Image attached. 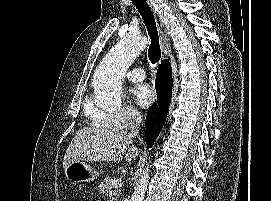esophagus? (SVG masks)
Wrapping results in <instances>:
<instances>
[{
	"label": "esophagus",
	"mask_w": 271,
	"mask_h": 201,
	"mask_svg": "<svg viewBox=\"0 0 271 201\" xmlns=\"http://www.w3.org/2000/svg\"><path fill=\"white\" fill-rule=\"evenodd\" d=\"M149 6L152 9V12L154 14L156 26L159 32V37H160V45H161V50H162V56L163 58H166L168 55V52L170 51V38L167 32V29L160 18L159 14L156 12L152 5V0H147Z\"/></svg>",
	"instance_id": "34e87169"
}]
</instances>
